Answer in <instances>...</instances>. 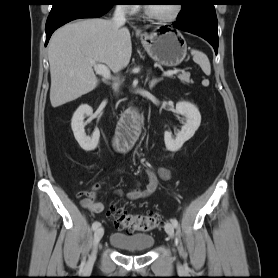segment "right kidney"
<instances>
[{"label": "right kidney", "instance_id": "right-kidney-1", "mask_svg": "<svg viewBox=\"0 0 278 278\" xmlns=\"http://www.w3.org/2000/svg\"><path fill=\"white\" fill-rule=\"evenodd\" d=\"M92 114V108L87 104H82L75 111L71 120V128L74 133V137L79 143L80 147L85 151L94 150L97 147L100 138V132L97 128L91 137L86 136L84 130V118L85 116H92Z\"/></svg>", "mask_w": 278, "mask_h": 278}]
</instances>
